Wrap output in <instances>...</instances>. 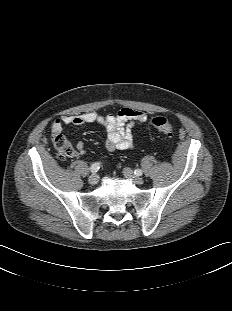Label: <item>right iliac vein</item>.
<instances>
[{
	"label": "right iliac vein",
	"mask_w": 232,
	"mask_h": 311,
	"mask_svg": "<svg viewBox=\"0 0 232 311\" xmlns=\"http://www.w3.org/2000/svg\"><path fill=\"white\" fill-rule=\"evenodd\" d=\"M98 175L97 174H92L88 178V183L90 185H96L98 183Z\"/></svg>",
	"instance_id": "right-iliac-vein-1"
}]
</instances>
